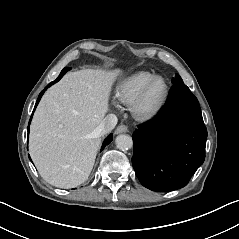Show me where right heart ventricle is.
Listing matches in <instances>:
<instances>
[{"label":"right heart ventricle","instance_id":"right-heart-ventricle-1","mask_svg":"<svg viewBox=\"0 0 239 239\" xmlns=\"http://www.w3.org/2000/svg\"><path fill=\"white\" fill-rule=\"evenodd\" d=\"M156 76L154 72L148 70H139L130 74L116 87V98L122 104L131 105L146 84Z\"/></svg>","mask_w":239,"mask_h":239}]
</instances>
